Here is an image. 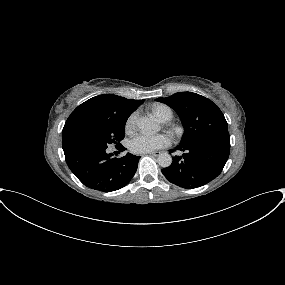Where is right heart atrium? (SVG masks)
Instances as JSON below:
<instances>
[{
  "label": "right heart atrium",
  "instance_id": "right-heart-atrium-1",
  "mask_svg": "<svg viewBox=\"0 0 285 285\" xmlns=\"http://www.w3.org/2000/svg\"><path fill=\"white\" fill-rule=\"evenodd\" d=\"M136 125H137V114L132 113L126 121L125 125L126 131L127 132L133 131L136 128Z\"/></svg>",
  "mask_w": 285,
  "mask_h": 285
}]
</instances>
